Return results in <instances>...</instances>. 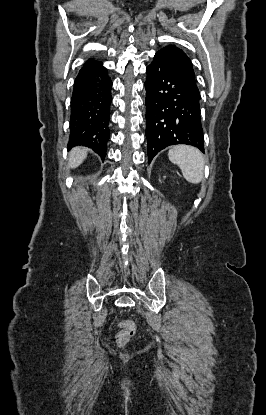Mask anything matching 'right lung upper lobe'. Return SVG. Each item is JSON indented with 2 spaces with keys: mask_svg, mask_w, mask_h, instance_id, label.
<instances>
[{
  "mask_svg": "<svg viewBox=\"0 0 266 415\" xmlns=\"http://www.w3.org/2000/svg\"><path fill=\"white\" fill-rule=\"evenodd\" d=\"M100 65H102L101 62L90 59L89 61H87L83 65V67L80 69L79 73L90 70V69L95 68V67L100 66Z\"/></svg>",
  "mask_w": 266,
  "mask_h": 415,
  "instance_id": "right-lung-upper-lobe-1",
  "label": "right lung upper lobe"
}]
</instances>
